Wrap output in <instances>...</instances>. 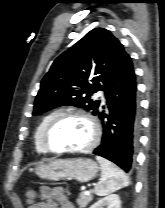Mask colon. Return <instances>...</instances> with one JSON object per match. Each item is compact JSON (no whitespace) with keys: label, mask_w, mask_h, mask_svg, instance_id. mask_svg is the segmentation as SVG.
<instances>
[{"label":"colon","mask_w":165,"mask_h":208,"mask_svg":"<svg viewBox=\"0 0 165 208\" xmlns=\"http://www.w3.org/2000/svg\"><path fill=\"white\" fill-rule=\"evenodd\" d=\"M25 196L28 204L30 205L35 204V201L37 199V193L34 189L27 188L25 190Z\"/></svg>","instance_id":"colon-1"}]
</instances>
